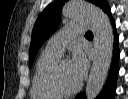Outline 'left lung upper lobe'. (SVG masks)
I'll use <instances>...</instances> for the list:
<instances>
[{
  "label": "left lung upper lobe",
  "mask_w": 128,
  "mask_h": 99,
  "mask_svg": "<svg viewBox=\"0 0 128 99\" xmlns=\"http://www.w3.org/2000/svg\"><path fill=\"white\" fill-rule=\"evenodd\" d=\"M66 0H55L49 4L39 15L32 32L30 44V66L44 41L56 30L60 22V12ZM91 3L100 6L103 0H90Z\"/></svg>",
  "instance_id": "5c2ea615"
}]
</instances>
